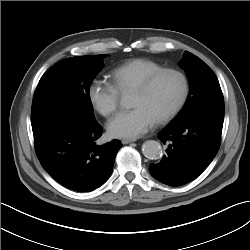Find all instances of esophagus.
Returning a JSON list of instances; mask_svg holds the SVG:
<instances>
[{"label": "esophagus", "mask_w": 250, "mask_h": 250, "mask_svg": "<svg viewBox=\"0 0 250 250\" xmlns=\"http://www.w3.org/2000/svg\"><path fill=\"white\" fill-rule=\"evenodd\" d=\"M136 139H122V144H129V143H132V142H135Z\"/></svg>", "instance_id": "34e87169"}]
</instances>
